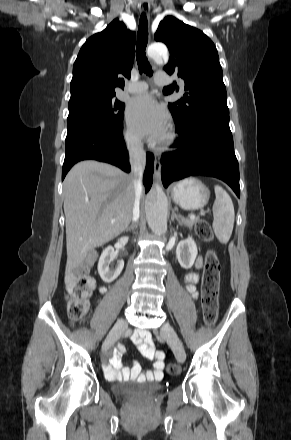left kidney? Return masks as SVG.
Instances as JSON below:
<instances>
[{
    "mask_svg": "<svg viewBox=\"0 0 291 440\" xmlns=\"http://www.w3.org/2000/svg\"><path fill=\"white\" fill-rule=\"evenodd\" d=\"M198 250L192 237L180 241L176 248V257L181 267L189 269L193 266Z\"/></svg>",
    "mask_w": 291,
    "mask_h": 440,
    "instance_id": "5707ae66",
    "label": "left kidney"
}]
</instances>
